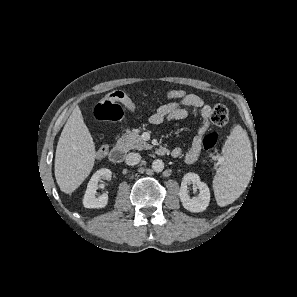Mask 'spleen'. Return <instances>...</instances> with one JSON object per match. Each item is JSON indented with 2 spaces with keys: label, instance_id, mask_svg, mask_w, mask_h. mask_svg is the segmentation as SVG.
I'll list each match as a JSON object with an SVG mask.
<instances>
[{
  "label": "spleen",
  "instance_id": "spleen-1",
  "mask_svg": "<svg viewBox=\"0 0 297 297\" xmlns=\"http://www.w3.org/2000/svg\"><path fill=\"white\" fill-rule=\"evenodd\" d=\"M224 160L215 176L213 187L217 198L233 201L246 188L253 165L251 144L240 125L234 127L223 147Z\"/></svg>",
  "mask_w": 297,
  "mask_h": 297
}]
</instances>
